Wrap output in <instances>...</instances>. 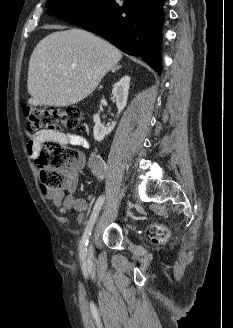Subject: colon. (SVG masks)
Wrapping results in <instances>:
<instances>
[{"label":"colon","mask_w":233,"mask_h":328,"mask_svg":"<svg viewBox=\"0 0 233 328\" xmlns=\"http://www.w3.org/2000/svg\"><path fill=\"white\" fill-rule=\"evenodd\" d=\"M24 115L28 120L29 130L50 131L78 129L83 117L82 111L75 107L57 109L27 106ZM82 159L81 152L75 148L63 146L54 140L43 142L36 158L42 188L46 190L62 188L75 178ZM148 236L152 241L158 242L165 240L167 235L163 229L153 227L148 232Z\"/></svg>","instance_id":"5ec220e1"}]
</instances>
